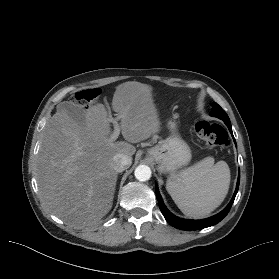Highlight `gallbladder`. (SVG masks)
<instances>
[{
    "instance_id": "gallbladder-1",
    "label": "gallbladder",
    "mask_w": 279,
    "mask_h": 279,
    "mask_svg": "<svg viewBox=\"0 0 279 279\" xmlns=\"http://www.w3.org/2000/svg\"><path fill=\"white\" fill-rule=\"evenodd\" d=\"M61 107H65L67 109L68 115L78 124H82L85 120L84 110L77 105H73L71 103H61Z\"/></svg>"
}]
</instances>
